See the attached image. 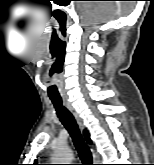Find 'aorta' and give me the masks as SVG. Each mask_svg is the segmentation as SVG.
Wrapping results in <instances>:
<instances>
[{"instance_id": "obj_1", "label": "aorta", "mask_w": 154, "mask_h": 165, "mask_svg": "<svg viewBox=\"0 0 154 165\" xmlns=\"http://www.w3.org/2000/svg\"><path fill=\"white\" fill-rule=\"evenodd\" d=\"M73 151L68 147L57 148L52 158V164H71Z\"/></svg>"}]
</instances>
